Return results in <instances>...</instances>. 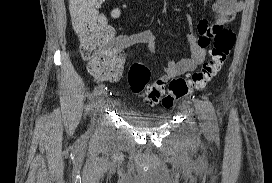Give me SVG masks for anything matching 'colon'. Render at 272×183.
Segmentation results:
<instances>
[{
  "label": "colon",
  "mask_w": 272,
  "mask_h": 183,
  "mask_svg": "<svg viewBox=\"0 0 272 183\" xmlns=\"http://www.w3.org/2000/svg\"><path fill=\"white\" fill-rule=\"evenodd\" d=\"M104 1L69 0L81 56L88 62L91 72L98 76H105L110 68L119 63L118 55L109 44L111 32L105 17L100 12ZM212 40L213 48L208 61L199 71L186 78L165 77L151 83L149 69L140 63L132 64L128 71V84L131 91L147 105L161 101L165 108H171L176 100L191 91L205 88L226 62L235 43V34L229 29L220 27Z\"/></svg>",
  "instance_id": "1"
}]
</instances>
